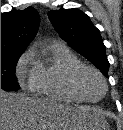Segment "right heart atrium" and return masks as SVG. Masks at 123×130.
<instances>
[{
  "label": "right heart atrium",
  "instance_id": "obj_1",
  "mask_svg": "<svg viewBox=\"0 0 123 130\" xmlns=\"http://www.w3.org/2000/svg\"><path fill=\"white\" fill-rule=\"evenodd\" d=\"M36 74V58L32 49L27 50L17 64V78L22 85L30 86Z\"/></svg>",
  "mask_w": 123,
  "mask_h": 130
}]
</instances>
